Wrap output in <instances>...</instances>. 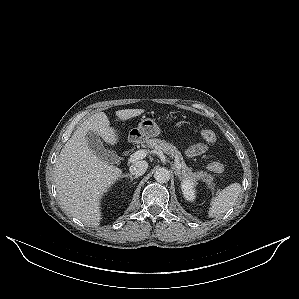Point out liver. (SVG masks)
I'll return each instance as SVG.
<instances>
[{
  "label": "liver",
  "instance_id": "1",
  "mask_svg": "<svg viewBox=\"0 0 299 299\" xmlns=\"http://www.w3.org/2000/svg\"><path fill=\"white\" fill-rule=\"evenodd\" d=\"M144 113L143 109L115 112L125 121ZM96 132L107 144L118 141V133L110 127L104 112L85 120L62 148L56 161L54 179L62 210L82 222L98 226L101 220V198L121 177L122 170L102 160L88 147L86 133Z\"/></svg>",
  "mask_w": 299,
  "mask_h": 299
}]
</instances>
